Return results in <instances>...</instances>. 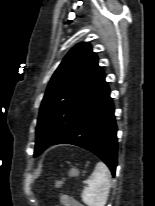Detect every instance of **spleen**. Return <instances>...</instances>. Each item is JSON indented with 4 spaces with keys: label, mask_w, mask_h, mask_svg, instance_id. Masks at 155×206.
<instances>
[{
    "label": "spleen",
    "mask_w": 155,
    "mask_h": 206,
    "mask_svg": "<svg viewBox=\"0 0 155 206\" xmlns=\"http://www.w3.org/2000/svg\"><path fill=\"white\" fill-rule=\"evenodd\" d=\"M82 201L88 206H105L111 187V174L103 162L97 163L93 173L85 182Z\"/></svg>",
    "instance_id": "obj_1"
}]
</instances>
